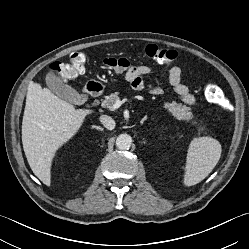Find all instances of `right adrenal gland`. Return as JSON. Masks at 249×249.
<instances>
[{"label": "right adrenal gland", "mask_w": 249, "mask_h": 249, "mask_svg": "<svg viewBox=\"0 0 249 249\" xmlns=\"http://www.w3.org/2000/svg\"><path fill=\"white\" fill-rule=\"evenodd\" d=\"M93 128H95L96 130H99V131H103V128H101L100 126H93Z\"/></svg>", "instance_id": "obj_1"}]
</instances>
